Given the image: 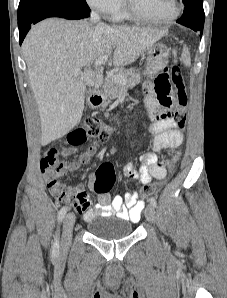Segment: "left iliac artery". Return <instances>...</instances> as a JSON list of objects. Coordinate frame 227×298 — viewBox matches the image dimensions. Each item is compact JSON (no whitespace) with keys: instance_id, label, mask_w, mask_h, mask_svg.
Listing matches in <instances>:
<instances>
[{"instance_id":"44dca946","label":"left iliac artery","mask_w":227,"mask_h":298,"mask_svg":"<svg viewBox=\"0 0 227 298\" xmlns=\"http://www.w3.org/2000/svg\"><path fill=\"white\" fill-rule=\"evenodd\" d=\"M149 201H150V203L153 205V207H156V206H157V201H156V199H155L154 197H151V198L149 199Z\"/></svg>"}]
</instances>
